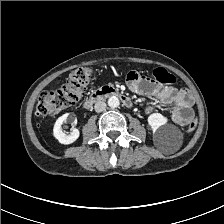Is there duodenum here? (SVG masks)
<instances>
[{
	"label": "duodenum",
	"instance_id": "obj_1",
	"mask_svg": "<svg viewBox=\"0 0 224 224\" xmlns=\"http://www.w3.org/2000/svg\"><path fill=\"white\" fill-rule=\"evenodd\" d=\"M106 97H117L122 101L125 107L130 108L132 106L130 98L127 97L123 92L113 87L105 86L91 93L89 97L85 100L84 107L88 108L95 102Z\"/></svg>",
	"mask_w": 224,
	"mask_h": 224
}]
</instances>
